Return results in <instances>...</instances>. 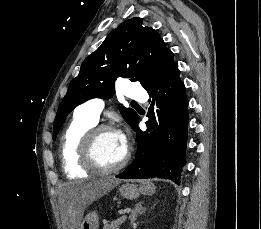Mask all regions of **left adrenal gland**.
I'll return each instance as SVG.
<instances>
[{"label": "left adrenal gland", "instance_id": "a2214340", "mask_svg": "<svg viewBox=\"0 0 261 229\" xmlns=\"http://www.w3.org/2000/svg\"><path fill=\"white\" fill-rule=\"evenodd\" d=\"M142 205H143V201H141V203H138V205H135V209H134V211H132V213L129 217L131 225H133V223H135L136 217H139V215H142V213H145L146 209H144V207H142Z\"/></svg>", "mask_w": 261, "mask_h": 229}]
</instances>
